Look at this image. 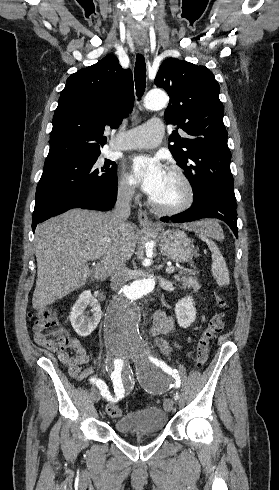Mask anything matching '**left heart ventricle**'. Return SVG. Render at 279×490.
<instances>
[{
  "mask_svg": "<svg viewBox=\"0 0 279 490\" xmlns=\"http://www.w3.org/2000/svg\"><path fill=\"white\" fill-rule=\"evenodd\" d=\"M184 197L182 183L171 173L167 172L166 184L162 194L155 200L164 205H173Z\"/></svg>",
  "mask_w": 279,
  "mask_h": 490,
  "instance_id": "obj_1",
  "label": "left heart ventricle"
}]
</instances>
